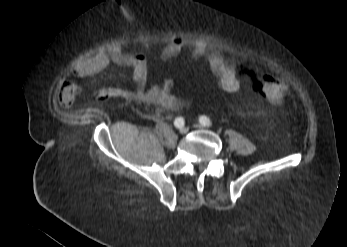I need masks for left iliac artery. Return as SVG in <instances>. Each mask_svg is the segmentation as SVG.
<instances>
[{"mask_svg": "<svg viewBox=\"0 0 347 247\" xmlns=\"http://www.w3.org/2000/svg\"><path fill=\"white\" fill-rule=\"evenodd\" d=\"M199 121L203 126H207V127L212 126V122L207 116H204V115L201 116L199 118Z\"/></svg>", "mask_w": 347, "mask_h": 247, "instance_id": "left-iliac-artery-1", "label": "left iliac artery"}]
</instances>
